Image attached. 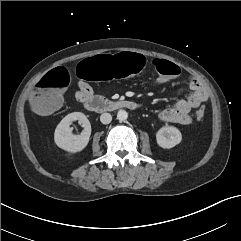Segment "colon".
Here are the masks:
<instances>
[{
  "label": "colon",
  "instance_id": "1",
  "mask_svg": "<svg viewBox=\"0 0 241 241\" xmlns=\"http://www.w3.org/2000/svg\"><path fill=\"white\" fill-rule=\"evenodd\" d=\"M146 62L137 52H111L97 54L90 60H81L76 65V74L81 79H113L138 74ZM153 67L159 73L160 81L172 80L180 68L169 61L156 59ZM69 85V74L64 67H57L42 76L31 96L32 108L41 114L53 112L62 101V94ZM205 109L196 111V118L202 120Z\"/></svg>",
  "mask_w": 241,
  "mask_h": 241
}]
</instances>
